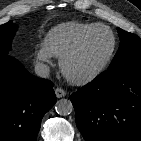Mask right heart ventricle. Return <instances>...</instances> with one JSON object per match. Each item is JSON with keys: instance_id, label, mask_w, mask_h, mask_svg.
Listing matches in <instances>:
<instances>
[{"instance_id": "obj_1", "label": "right heart ventricle", "mask_w": 141, "mask_h": 141, "mask_svg": "<svg viewBox=\"0 0 141 141\" xmlns=\"http://www.w3.org/2000/svg\"><path fill=\"white\" fill-rule=\"evenodd\" d=\"M95 23L69 21L51 28L45 35L43 47L51 56L60 58L77 39Z\"/></svg>"}]
</instances>
